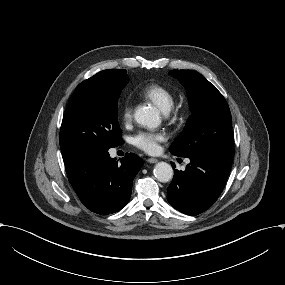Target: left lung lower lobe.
Returning a JSON list of instances; mask_svg holds the SVG:
<instances>
[{
    "instance_id": "obj_1",
    "label": "left lung lower lobe",
    "mask_w": 285,
    "mask_h": 285,
    "mask_svg": "<svg viewBox=\"0 0 285 285\" xmlns=\"http://www.w3.org/2000/svg\"><path fill=\"white\" fill-rule=\"evenodd\" d=\"M188 158L190 163L185 171L174 169L172 183L167 188V198L178 211L198 215L211 207L221 194L233 154L206 152Z\"/></svg>"
}]
</instances>
